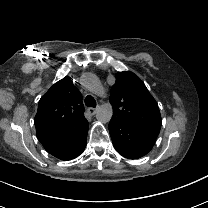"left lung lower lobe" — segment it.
Returning <instances> with one entry per match:
<instances>
[{"mask_svg":"<svg viewBox=\"0 0 208 208\" xmlns=\"http://www.w3.org/2000/svg\"><path fill=\"white\" fill-rule=\"evenodd\" d=\"M109 132L116 151L128 159L141 158L154 146L145 136L120 119L110 120Z\"/></svg>","mask_w":208,"mask_h":208,"instance_id":"obj_1","label":"left lung lower lobe"}]
</instances>
